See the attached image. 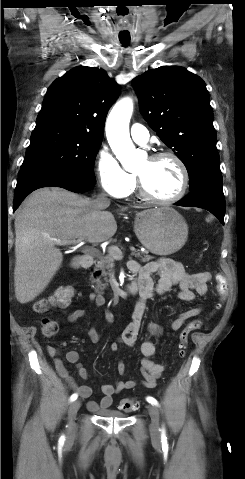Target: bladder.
Instances as JSON below:
<instances>
[{
	"label": "bladder",
	"instance_id": "obj_1",
	"mask_svg": "<svg viewBox=\"0 0 245 479\" xmlns=\"http://www.w3.org/2000/svg\"><path fill=\"white\" fill-rule=\"evenodd\" d=\"M101 417H112V418H125L126 415L122 412L115 410H106L100 412Z\"/></svg>",
	"mask_w": 245,
	"mask_h": 479
}]
</instances>
